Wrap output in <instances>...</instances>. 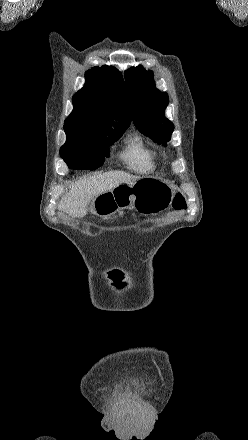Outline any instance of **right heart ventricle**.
Instances as JSON below:
<instances>
[{
    "label": "right heart ventricle",
    "instance_id": "obj_1",
    "mask_svg": "<svg viewBox=\"0 0 248 440\" xmlns=\"http://www.w3.org/2000/svg\"><path fill=\"white\" fill-rule=\"evenodd\" d=\"M126 167L139 174L151 173L156 168V155L136 137L128 142L121 154Z\"/></svg>",
    "mask_w": 248,
    "mask_h": 440
}]
</instances>
